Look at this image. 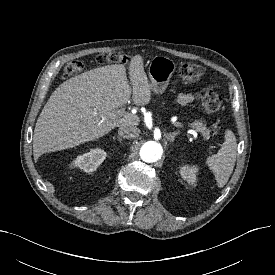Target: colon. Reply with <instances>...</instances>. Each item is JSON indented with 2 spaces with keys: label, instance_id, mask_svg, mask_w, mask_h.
<instances>
[{
  "label": "colon",
  "instance_id": "5ec220e1",
  "mask_svg": "<svg viewBox=\"0 0 275 275\" xmlns=\"http://www.w3.org/2000/svg\"><path fill=\"white\" fill-rule=\"evenodd\" d=\"M128 61V57L116 51L103 52L97 55L96 62L100 65ZM83 69L80 61L69 62L64 70V76L77 75ZM179 74L183 82L192 83L200 80L205 74V68L196 63H184L179 68ZM202 106L206 112L217 114L222 109V99L212 83L207 84L201 94Z\"/></svg>",
  "mask_w": 275,
  "mask_h": 275
}]
</instances>
